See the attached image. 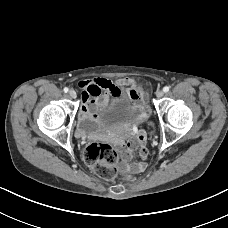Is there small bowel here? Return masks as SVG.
I'll return each instance as SVG.
<instances>
[{
	"mask_svg": "<svg viewBox=\"0 0 228 228\" xmlns=\"http://www.w3.org/2000/svg\"><path fill=\"white\" fill-rule=\"evenodd\" d=\"M128 87L126 93L131 101L139 107H145L147 96L142 87L131 78H123L112 82L105 78H90L81 80L79 87L82 89V105L80 109L81 131L91 127V121L98 119V113L109 100L112 94H118L122 87ZM145 137L142 133L128 141L127 144H120L122 150V168L126 172L141 173L146 167L147 149L144 144ZM139 149L140 161L131 162L133 151Z\"/></svg>",
	"mask_w": 228,
	"mask_h": 228,
	"instance_id": "small-bowel-1",
	"label": "small bowel"
}]
</instances>
